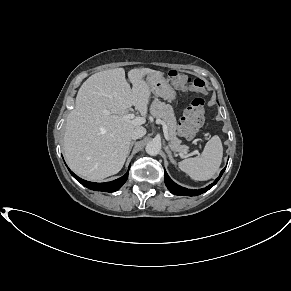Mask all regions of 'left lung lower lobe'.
Here are the masks:
<instances>
[{
	"label": "left lung lower lobe",
	"mask_w": 291,
	"mask_h": 291,
	"mask_svg": "<svg viewBox=\"0 0 291 291\" xmlns=\"http://www.w3.org/2000/svg\"><path fill=\"white\" fill-rule=\"evenodd\" d=\"M224 170L225 169H223L221 171L219 177L212 184H210L208 187H205V188L199 189V190H192V189H187V188L179 186L173 180H171V178L168 176L166 171H165V184H166L167 188L169 189V191L175 195L197 196V195H200V194L208 191L210 188H212L218 182V180L222 176Z\"/></svg>",
	"instance_id": "left-lung-lower-lobe-1"
}]
</instances>
